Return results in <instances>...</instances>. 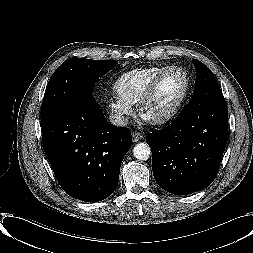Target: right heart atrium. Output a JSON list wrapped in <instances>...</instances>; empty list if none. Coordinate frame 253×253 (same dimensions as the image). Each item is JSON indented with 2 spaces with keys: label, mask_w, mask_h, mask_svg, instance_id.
Here are the masks:
<instances>
[{
  "label": "right heart atrium",
  "mask_w": 253,
  "mask_h": 253,
  "mask_svg": "<svg viewBox=\"0 0 253 253\" xmlns=\"http://www.w3.org/2000/svg\"><path fill=\"white\" fill-rule=\"evenodd\" d=\"M108 108L120 119L129 116L132 111L131 105L119 97L109 98Z\"/></svg>",
  "instance_id": "obj_1"
}]
</instances>
